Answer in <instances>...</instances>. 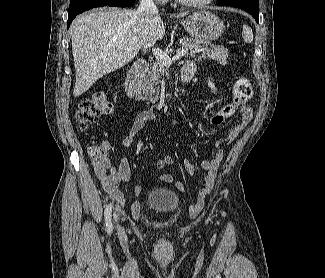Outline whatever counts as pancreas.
Returning a JSON list of instances; mask_svg holds the SVG:
<instances>
[{"mask_svg": "<svg viewBox=\"0 0 325 278\" xmlns=\"http://www.w3.org/2000/svg\"><path fill=\"white\" fill-rule=\"evenodd\" d=\"M180 44L182 49L186 51V56L195 57V50L200 48H206L203 46V42L200 40L184 37ZM212 59L220 64H226L228 58V49L222 46H212V49H206L202 51L199 60L202 59ZM165 75V67L162 63L156 62L149 68L147 75L143 79V99L150 100L152 103H155L159 100V84L162 77Z\"/></svg>", "mask_w": 325, "mask_h": 278, "instance_id": "pancreas-1", "label": "pancreas"}]
</instances>
